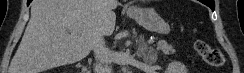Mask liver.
<instances>
[{
    "instance_id": "obj_1",
    "label": "liver",
    "mask_w": 244,
    "mask_h": 73,
    "mask_svg": "<svg viewBox=\"0 0 244 73\" xmlns=\"http://www.w3.org/2000/svg\"><path fill=\"white\" fill-rule=\"evenodd\" d=\"M117 0H34L8 73H41L76 63L113 33Z\"/></svg>"
}]
</instances>
